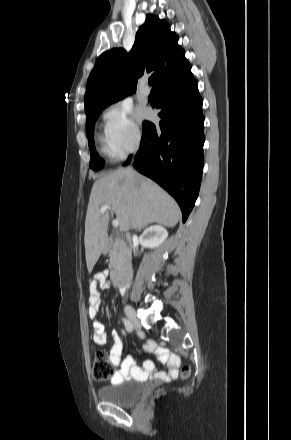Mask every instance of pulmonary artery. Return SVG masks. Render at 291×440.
I'll list each match as a JSON object with an SVG mask.
<instances>
[{
  "mask_svg": "<svg viewBox=\"0 0 291 440\" xmlns=\"http://www.w3.org/2000/svg\"><path fill=\"white\" fill-rule=\"evenodd\" d=\"M149 92H150L149 87H148L145 83H143V84L140 86V93H141L143 96L147 97V96L149 95Z\"/></svg>",
  "mask_w": 291,
  "mask_h": 440,
  "instance_id": "1",
  "label": "pulmonary artery"
}]
</instances>
